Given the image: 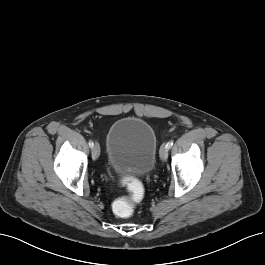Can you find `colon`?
I'll return each instance as SVG.
<instances>
[{
	"label": "colon",
	"mask_w": 265,
	"mask_h": 265,
	"mask_svg": "<svg viewBox=\"0 0 265 265\" xmlns=\"http://www.w3.org/2000/svg\"><path fill=\"white\" fill-rule=\"evenodd\" d=\"M123 183L131 193V197L119 200L115 209L118 216L126 218L133 214L135 203L142 198V185L139 180L132 176L127 177Z\"/></svg>",
	"instance_id": "colon-1"
}]
</instances>
